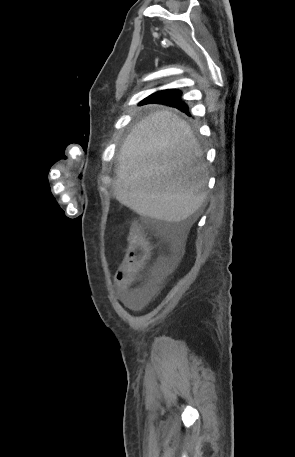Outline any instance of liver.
Instances as JSON below:
<instances>
[{
	"label": "liver",
	"mask_w": 295,
	"mask_h": 457,
	"mask_svg": "<svg viewBox=\"0 0 295 457\" xmlns=\"http://www.w3.org/2000/svg\"><path fill=\"white\" fill-rule=\"evenodd\" d=\"M191 127L157 110L126 137L113 181L115 198L141 216L181 222L206 199L207 166Z\"/></svg>",
	"instance_id": "6515ba94"
}]
</instances>
